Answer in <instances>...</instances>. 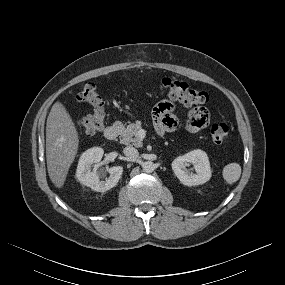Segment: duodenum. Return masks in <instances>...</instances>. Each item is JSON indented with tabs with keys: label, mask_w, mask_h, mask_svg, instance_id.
<instances>
[{
	"label": "duodenum",
	"mask_w": 285,
	"mask_h": 285,
	"mask_svg": "<svg viewBox=\"0 0 285 285\" xmlns=\"http://www.w3.org/2000/svg\"><path fill=\"white\" fill-rule=\"evenodd\" d=\"M118 134H119V127L116 125L108 126L104 130V137L110 141L115 140Z\"/></svg>",
	"instance_id": "obj_1"
}]
</instances>
